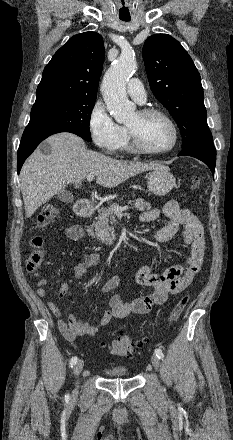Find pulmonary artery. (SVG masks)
<instances>
[{
	"instance_id": "e3ab8cb5",
	"label": "pulmonary artery",
	"mask_w": 233,
	"mask_h": 440,
	"mask_svg": "<svg viewBox=\"0 0 233 440\" xmlns=\"http://www.w3.org/2000/svg\"><path fill=\"white\" fill-rule=\"evenodd\" d=\"M127 93L139 104H143L146 101V92L143 83L138 78H132L128 82Z\"/></svg>"
}]
</instances>
